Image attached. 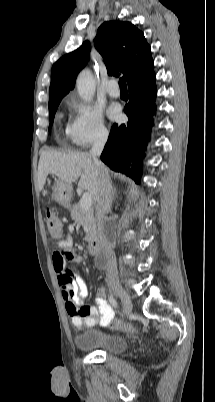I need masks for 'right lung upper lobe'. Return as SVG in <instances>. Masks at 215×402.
<instances>
[{"label":"right lung upper lobe","mask_w":215,"mask_h":402,"mask_svg":"<svg viewBox=\"0 0 215 402\" xmlns=\"http://www.w3.org/2000/svg\"><path fill=\"white\" fill-rule=\"evenodd\" d=\"M97 51L104 58L109 75L122 72L128 86L154 75L150 45L144 34L132 23L104 22L94 39ZM90 43L61 57L52 67L49 102L63 98L75 86L79 71L89 60Z\"/></svg>","instance_id":"cb5924a9"}]
</instances>
